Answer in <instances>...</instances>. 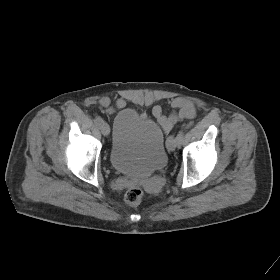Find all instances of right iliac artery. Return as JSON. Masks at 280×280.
Listing matches in <instances>:
<instances>
[{"label": "right iliac artery", "mask_w": 280, "mask_h": 280, "mask_svg": "<svg viewBox=\"0 0 280 280\" xmlns=\"http://www.w3.org/2000/svg\"><path fill=\"white\" fill-rule=\"evenodd\" d=\"M94 123L97 125V126H100L102 123H103V120L101 117H96L94 119Z\"/></svg>", "instance_id": "obj_1"}]
</instances>
